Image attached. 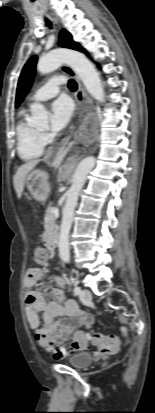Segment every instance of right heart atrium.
Here are the masks:
<instances>
[{
	"label": "right heart atrium",
	"mask_w": 155,
	"mask_h": 413,
	"mask_svg": "<svg viewBox=\"0 0 155 413\" xmlns=\"http://www.w3.org/2000/svg\"><path fill=\"white\" fill-rule=\"evenodd\" d=\"M41 138H42V141L44 142V144L49 141V137H48V135L45 134V133H42V134H41Z\"/></svg>",
	"instance_id": "obj_1"
}]
</instances>
